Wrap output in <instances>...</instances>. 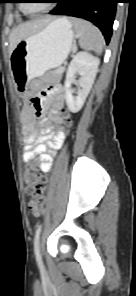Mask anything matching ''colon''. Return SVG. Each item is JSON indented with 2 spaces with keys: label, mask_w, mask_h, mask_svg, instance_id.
Listing matches in <instances>:
<instances>
[{
  "label": "colon",
  "mask_w": 136,
  "mask_h": 296,
  "mask_svg": "<svg viewBox=\"0 0 136 296\" xmlns=\"http://www.w3.org/2000/svg\"><path fill=\"white\" fill-rule=\"evenodd\" d=\"M27 191L32 194L29 208L33 214L39 213L45 204V192L48 179L45 175L38 174L34 167L30 165L25 173Z\"/></svg>",
  "instance_id": "colon-1"
}]
</instances>
